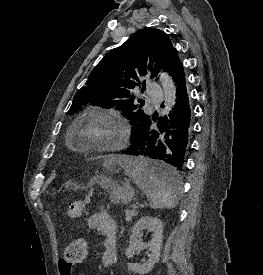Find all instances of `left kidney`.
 Segmentation results:
<instances>
[{
  "label": "left kidney",
  "instance_id": "left-kidney-1",
  "mask_svg": "<svg viewBox=\"0 0 263 275\" xmlns=\"http://www.w3.org/2000/svg\"><path fill=\"white\" fill-rule=\"evenodd\" d=\"M146 228H150L153 231L152 239L148 243H144L139 239L141 232ZM162 242L163 224L161 220L150 216L140 218L133 227L129 246L125 251V255L128 259H131L136 252L144 249H149L151 254L149 255L148 261L144 264L128 263V268L132 272L140 275L149 273L154 264L159 261Z\"/></svg>",
  "mask_w": 263,
  "mask_h": 275
}]
</instances>
